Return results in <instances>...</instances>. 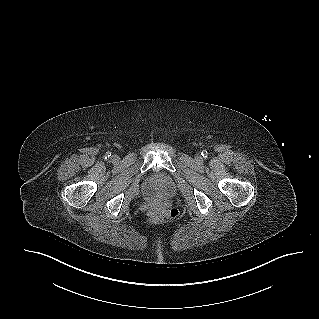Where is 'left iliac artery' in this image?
I'll return each mask as SVG.
<instances>
[{
    "label": "left iliac artery",
    "instance_id": "44dca946",
    "mask_svg": "<svg viewBox=\"0 0 319 319\" xmlns=\"http://www.w3.org/2000/svg\"><path fill=\"white\" fill-rule=\"evenodd\" d=\"M201 155L206 158L208 153H207V151H202Z\"/></svg>",
    "mask_w": 319,
    "mask_h": 319
}]
</instances>
